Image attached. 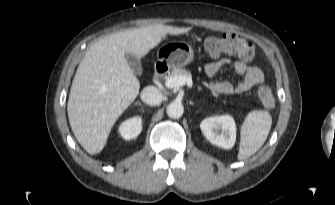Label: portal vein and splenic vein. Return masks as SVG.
I'll return each mask as SVG.
<instances>
[{"label":"portal vein and splenic vein","mask_w":335,"mask_h":205,"mask_svg":"<svg viewBox=\"0 0 335 205\" xmlns=\"http://www.w3.org/2000/svg\"><path fill=\"white\" fill-rule=\"evenodd\" d=\"M165 85L168 88H176L187 85L189 88L192 87L193 82L191 77L186 76H174L165 80Z\"/></svg>","instance_id":"obj_1"}]
</instances>
